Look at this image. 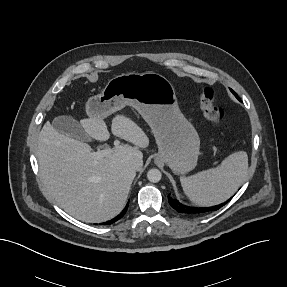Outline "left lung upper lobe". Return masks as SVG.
Masks as SVG:
<instances>
[{
	"label": "left lung upper lobe",
	"instance_id": "1",
	"mask_svg": "<svg viewBox=\"0 0 287 287\" xmlns=\"http://www.w3.org/2000/svg\"><path fill=\"white\" fill-rule=\"evenodd\" d=\"M232 91V93L239 99V97L237 96V94L233 91V90H231Z\"/></svg>",
	"mask_w": 287,
	"mask_h": 287
}]
</instances>
